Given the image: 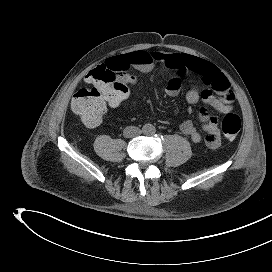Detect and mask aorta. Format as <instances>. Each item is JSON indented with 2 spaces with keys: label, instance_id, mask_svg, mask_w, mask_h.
<instances>
[{
  "label": "aorta",
  "instance_id": "1",
  "mask_svg": "<svg viewBox=\"0 0 272 272\" xmlns=\"http://www.w3.org/2000/svg\"><path fill=\"white\" fill-rule=\"evenodd\" d=\"M145 135H153L155 133V127L152 124H145L142 128Z\"/></svg>",
  "mask_w": 272,
  "mask_h": 272
}]
</instances>
